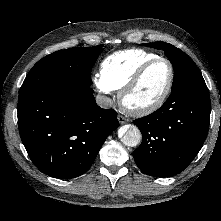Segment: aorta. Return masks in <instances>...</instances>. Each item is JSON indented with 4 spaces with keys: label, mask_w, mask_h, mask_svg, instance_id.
Segmentation results:
<instances>
[{
    "label": "aorta",
    "mask_w": 221,
    "mask_h": 221,
    "mask_svg": "<svg viewBox=\"0 0 221 221\" xmlns=\"http://www.w3.org/2000/svg\"><path fill=\"white\" fill-rule=\"evenodd\" d=\"M121 141L124 145L135 147L140 144L142 135L135 125H125L119 130Z\"/></svg>",
    "instance_id": "1"
}]
</instances>
